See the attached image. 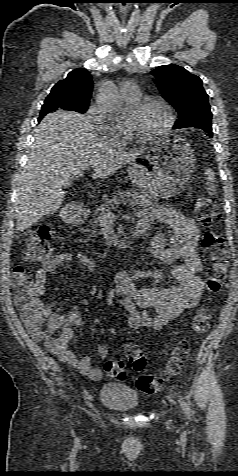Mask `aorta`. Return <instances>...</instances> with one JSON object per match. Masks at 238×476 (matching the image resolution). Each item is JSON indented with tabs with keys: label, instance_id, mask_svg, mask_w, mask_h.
Listing matches in <instances>:
<instances>
[{
	"label": "aorta",
	"instance_id": "1",
	"mask_svg": "<svg viewBox=\"0 0 238 476\" xmlns=\"http://www.w3.org/2000/svg\"><path fill=\"white\" fill-rule=\"evenodd\" d=\"M97 102L101 110L107 114L110 119L119 118L124 112L125 107L120 100L116 86L112 82H106L98 95Z\"/></svg>",
	"mask_w": 238,
	"mask_h": 476
}]
</instances>
